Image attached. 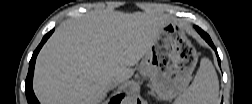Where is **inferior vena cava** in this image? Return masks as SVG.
Here are the masks:
<instances>
[{
    "instance_id": "obj_1",
    "label": "inferior vena cava",
    "mask_w": 252,
    "mask_h": 104,
    "mask_svg": "<svg viewBox=\"0 0 252 104\" xmlns=\"http://www.w3.org/2000/svg\"><path fill=\"white\" fill-rule=\"evenodd\" d=\"M120 83H121V78L116 77V78L110 79L108 85H109L110 89H113L114 87H116Z\"/></svg>"
}]
</instances>
